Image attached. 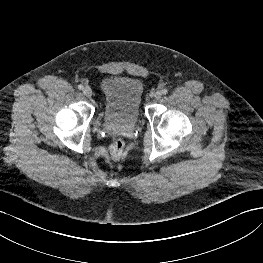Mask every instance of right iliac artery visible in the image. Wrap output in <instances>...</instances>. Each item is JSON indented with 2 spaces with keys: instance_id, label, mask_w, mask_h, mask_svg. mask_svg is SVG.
<instances>
[{
  "instance_id": "1",
  "label": "right iliac artery",
  "mask_w": 263,
  "mask_h": 263,
  "mask_svg": "<svg viewBox=\"0 0 263 263\" xmlns=\"http://www.w3.org/2000/svg\"><path fill=\"white\" fill-rule=\"evenodd\" d=\"M84 86L82 84L78 85L79 90H83Z\"/></svg>"
}]
</instances>
